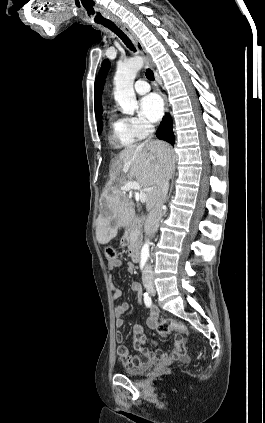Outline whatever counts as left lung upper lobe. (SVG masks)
<instances>
[{"label":"left lung upper lobe","mask_w":265,"mask_h":423,"mask_svg":"<svg viewBox=\"0 0 265 423\" xmlns=\"http://www.w3.org/2000/svg\"><path fill=\"white\" fill-rule=\"evenodd\" d=\"M109 66H110L109 61L108 60H105L102 63V66H101V69H100V72H99V83H100V89H101V91L103 89L105 77H106L107 71L109 69Z\"/></svg>","instance_id":"left-lung-upper-lobe-1"}]
</instances>
